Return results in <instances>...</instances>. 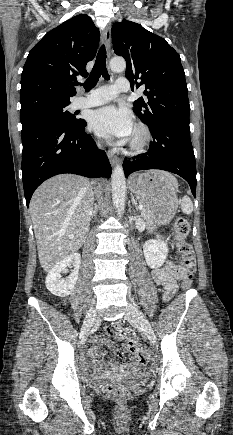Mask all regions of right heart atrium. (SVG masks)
I'll use <instances>...</instances> for the list:
<instances>
[{
	"label": "right heart atrium",
	"instance_id": "obj_1",
	"mask_svg": "<svg viewBox=\"0 0 233 435\" xmlns=\"http://www.w3.org/2000/svg\"><path fill=\"white\" fill-rule=\"evenodd\" d=\"M96 142H97V144H99V140H97Z\"/></svg>",
	"mask_w": 233,
	"mask_h": 435
}]
</instances>
